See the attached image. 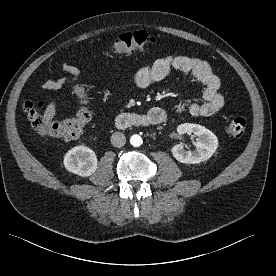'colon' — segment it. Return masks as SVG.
<instances>
[{
    "label": "colon",
    "instance_id": "obj_1",
    "mask_svg": "<svg viewBox=\"0 0 276 276\" xmlns=\"http://www.w3.org/2000/svg\"><path fill=\"white\" fill-rule=\"evenodd\" d=\"M155 43V38L144 31L123 33L113 39L109 45L110 52H132L144 49ZM78 99L77 109L71 116L60 120L48 118L43 113L44 104L41 101H26L23 111L27 115L31 126L39 133L46 134L57 140H71L77 137L90 121V110L84 90L80 86L74 87ZM243 117L233 118L226 127L227 134L232 138L243 135L246 129Z\"/></svg>",
    "mask_w": 276,
    "mask_h": 276
}]
</instances>
